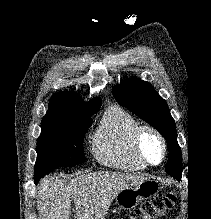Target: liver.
Listing matches in <instances>:
<instances>
[{
  "label": "liver",
  "instance_id": "obj_1",
  "mask_svg": "<svg viewBox=\"0 0 211 219\" xmlns=\"http://www.w3.org/2000/svg\"><path fill=\"white\" fill-rule=\"evenodd\" d=\"M145 180L134 174L107 171L68 178L47 176L37 190L39 219H69L72 200L77 219H104L119 192Z\"/></svg>",
  "mask_w": 211,
  "mask_h": 219
}]
</instances>
